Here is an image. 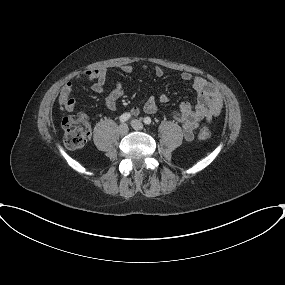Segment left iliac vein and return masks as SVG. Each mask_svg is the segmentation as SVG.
Returning a JSON list of instances; mask_svg holds the SVG:
<instances>
[{
    "mask_svg": "<svg viewBox=\"0 0 285 285\" xmlns=\"http://www.w3.org/2000/svg\"><path fill=\"white\" fill-rule=\"evenodd\" d=\"M131 126L135 129V130H142L143 129V124L141 121L134 119L131 121Z\"/></svg>",
    "mask_w": 285,
    "mask_h": 285,
    "instance_id": "4c4485c4",
    "label": "left iliac vein"
}]
</instances>
